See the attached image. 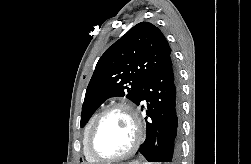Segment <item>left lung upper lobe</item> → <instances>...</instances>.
<instances>
[{
  "instance_id": "1",
  "label": "left lung upper lobe",
  "mask_w": 251,
  "mask_h": 164,
  "mask_svg": "<svg viewBox=\"0 0 251 164\" xmlns=\"http://www.w3.org/2000/svg\"><path fill=\"white\" fill-rule=\"evenodd\" d=\"M171 57L162 32L149 22L132 27L100 57L82 106L83 124L109 97L126 96L138 105L148 78Z\"/></svg>"
}]
</instances>
